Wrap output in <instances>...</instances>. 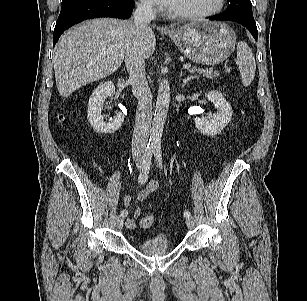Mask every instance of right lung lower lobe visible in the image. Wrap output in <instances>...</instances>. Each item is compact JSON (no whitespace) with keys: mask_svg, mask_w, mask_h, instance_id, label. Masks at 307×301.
Here are the masks:
<instances>
[{"mask_svg":"<svg viewBox=\"0 0 307 301\" xmlns=\"http://www.w3.org/2000/svg\"><path fill=\"white\" fill-rule=\"evenodd\" d=\"M134 0H78L64 4L54 29V43L61 34L74 24L96 17L128 19L133 10Z\"/></svg>","mask_w":307,"mask_h":301,"instance_id":"98d812e1","label":"right lung lower lobe"}]
</instances>
